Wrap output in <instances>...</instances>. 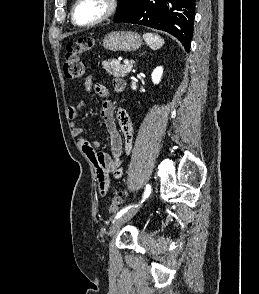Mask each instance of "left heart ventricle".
Here are the masks:
<instances>
[{"mask_svg":"<svg viewBox=\"0 0 259 294\" xmlns=\"http://www.w3.org/2000/svg\"><path fill=\"white\" fill-rule=\"evenodd\" d=\"M105 0H82L76 11L79 23H89L98 19L106 10Z\"/></svg>","mask_w":259,"mask_h":294,"instance_id":"b2bd125f","label":"left heart ventricle"}]
</instances>
